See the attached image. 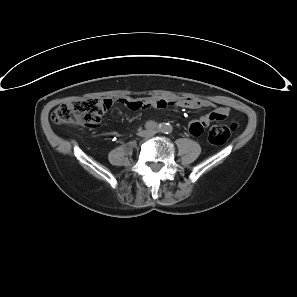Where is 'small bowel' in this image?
Masks as SVG:
<instances>
[{
    "instance_id": "1",
    "label": "small bowel",
    "mask_w": 297,
    "mask_h": 297,
    "mask_svg": "<svg viewBox=\"0 0 297 297\" xmlns=\"http://www.w3.org/2000/svg\"><path fill=\"white\" fill-rule=\"evenodd\" d=\"M120 102L131 110H141L145 108L163 109L168 106H175L185 109H200L210 107L212 104L207 100L196 98H177V99H121ZM230 109L225 106L217 107L212 113L201 116L193 120L189 125V131L193 136H199L203 133L204 128L208 127L214 121H222L228 117ZM84 128L90 131H101L103 124L96 121H86Z\"/></svg>"
}]
</instances>
